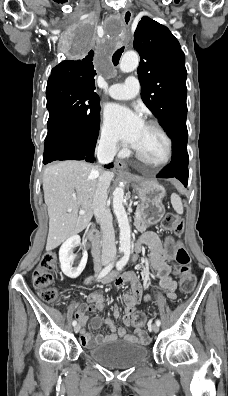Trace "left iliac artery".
I'll return each instance as SVG.
<instances>
[{
    "mask_svg": "<svg viewBox=\"0 0 228 396\" xmlns=\"http://www.w3.org/2000/svg\"><path fill=\"white\" fill-rule=\"evenodd\" d=\"M129 251H125L124 256L117 262L116 264V268L118 270H121L123 268V266H125V264L127 263L128 259H129ZM156 324L158 326L161 325V321L159 319L156 320Z\"/></svg>",
    "mask_w": 228,
    "mask_h": 396,
    "instance_id": "1",
    "label": "left iliac artery"
}]
</instances>
